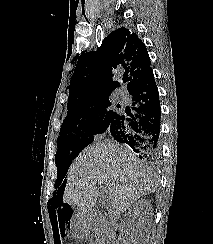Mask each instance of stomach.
<instances>
[{
  "label": "stomach",
  "mask_w": 213,
  "mask_h": 244,
  "mask_svg": "<svg viewBox=\"0 0 213 244\" xmlns=\"http://www.w3.org/2000/svg\"><path fill=\"white\" fill-rule=\"evenodd\" d=\"M84 226L85 221H74L72 234H74L78 238L84 237Z\"/></svg>",
  "instance_id": "0dacf381"
}]
</instances>
